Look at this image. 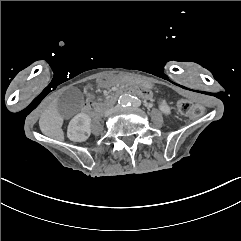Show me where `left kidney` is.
Here are the masks:
<instances>
[{"label": "left kidney", "mask_w": 241, "mask_h": 241, "mask_svg": "<svg viewBox=\"0 0 241 241\" xmlns=\"http://www.w3.org/2000/svg\"><path fill=\"white\" fill-rule=\"evenodd\" d=\"M159 109L167 115L171 113L170 107L167 105L165 100L159 102Z\"/></svg>", "instance_id": "left-kidney-1"}]
</instances>
